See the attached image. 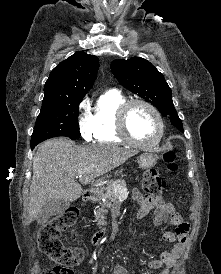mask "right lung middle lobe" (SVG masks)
Masks as SVG:
<instances>
[{"instance_id": "obj_1", "label": "right lung middle lobe", "mask_w": 221, "mask_h": 274, "mask_svg": "<svg viewBox=\"0 0 221 274\" xmlns=\"http://www.w3.org/2000/svg\"><path fill=\"white\" fill-rule=\"evenodd\" d=\"M82 98L43 100L31 146L57 136L79 137L78 113Z\"/></svg>"}]
</instances>
